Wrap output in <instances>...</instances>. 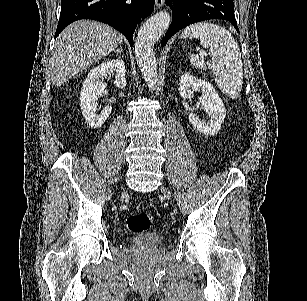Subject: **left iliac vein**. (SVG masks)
Returning <instances> with one entry per match:
<instances>
[{
  "label": "left iliac vein",
  "instance_id": "left-iliac-vein-1",
  "mask_svg": "<svg viewBox=\"0 0 307 301\" xmlns=\"http://www.w3.org/2000/svg\"><path fill=\"white\" fill-rule=\"evenodd\" d=\"M161 192L164 194V196H165L168 200H170V197H169V195H168V191H167L166 187L162 186V187H161Z\"/></svg>",
  "mask_w": 307,
  "mask_h": 301
}]
</instances>
